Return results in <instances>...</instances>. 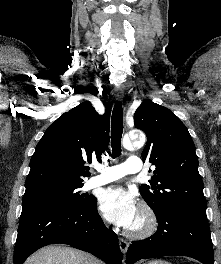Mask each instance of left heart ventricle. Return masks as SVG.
Masks as SVG:
<instances>
[{
    "label": "left heart ventricle",
    "mask_w": 221,
    "mask_h": 264,
    "mask_svg": "<svg viewBox=\"0 0 221 264\" xmlns=\"http://www.w3.org/2000/svg\"><path fill=\"white\" fill-rule=\"evenodd\" d=\"M139 220H140V216H139V213H138V216H137V218H136L134 224L132 225V227H135V226L139 223ZM132 227H131V228H132Z\"/></svg>",
    "instance_id": "1"
}]
</instances>
